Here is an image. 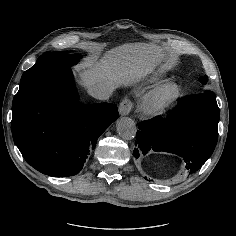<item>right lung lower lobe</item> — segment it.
Returning a JSON list of instances; mask_svg holds the SVG:
<instances>
[{"instance_id":"obj_1","label":"right lung lower lobe","mask_w":236,"mask_h":236,"mask_svg":"<svg viewBox=\"0 0 236 236\" xmlns=\"http://www.w3.org/2000/svg\"><path fill=\"white\" fill-rule=\"evenodd\" d=\"M12 113V135L22 156L54 177L78 174L98 137L119 116L114 104L79 102L70 67L20 85Z\"/></svg>"}]
</instances>
